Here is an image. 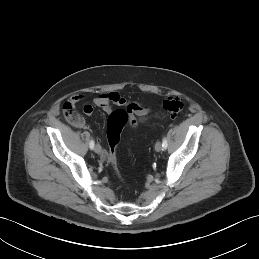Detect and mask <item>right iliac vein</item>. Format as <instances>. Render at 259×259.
Returning <instances> with one entry per match:
<instances>
[{
	"label": "right iliac vein",
	"mask_w": 259,
	"mask_h": 259,
	"mask_svg": "<svg viewBox=\"0 0 259 259\" xmlns=\"http://www.w3.org/2000/svg\"><path fill=\"white\" fill-rule=\"evenodd\" d=\"M94 151H95L97 154H99V153L101 152V146L97 144V145L94 147Z\"/></svg>",
	"instance_id": "right-iliac-vein-1"
}]
</instances>
